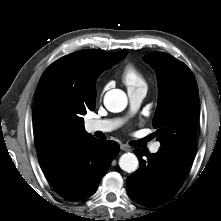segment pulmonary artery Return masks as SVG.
<instances>
[{
	"label": "pulmonary artery",
	"instance_id": "1",
	"mask_svg": "<svg viewBox=\"0 0 221 221\" xmlns=\"http://www.w3.org/2000/svg\"><path fill=\"white\" fill-rule=\"evenodd\" d=\"M146 94V88H136V89H128V97L130 101V107L132 111L138 109ZM122 121L119 119L110 120V119H103V120H89L86 122V130L88 132H110L121 125ZM160 143H154L150 150L152 153H157L160 149Z\"/></svg>",
	"mask_w": 221,
	"mask_h": 221
}]
</instances>
